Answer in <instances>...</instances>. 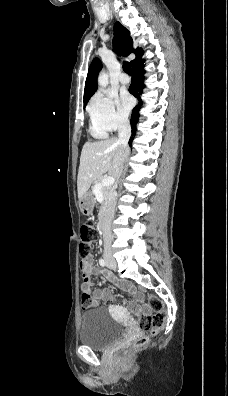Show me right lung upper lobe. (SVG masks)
I'll list each match as a JSON object with an SVG mask.
<instances>
[{
    "label": "right lung upper lobe",
    "mask_w": 228,
    "mask_h": 396,
    "mask_svg": "<svg viewBox=\"0 0 228 396\" xmlns=\"http://www.w3.org/2000/svg\"><path fill=\"white\" fill-rule=\"evenodd\" d=\"M114 33L116 37L113 41L115 51L119 55L123 56H128L130 53H135L136 58L130 62L131 66H134L141 59L143 50L141 48H133V40L130 37L129 31L119 22H116L114 25ZM101 68V61L98 58H95L89 67L85 82L84 104L87 103V101L97 90V76Z\"/></svg>",
    "instance_id": "obj_1"
}]
</instances>
